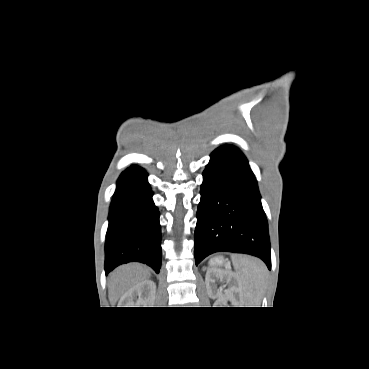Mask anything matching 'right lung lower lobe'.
Masks as SVG:
<instances>
[{
	"label": "right lung lower lobe",
	"instance_id": "1",
	"mask_svg": "<svg viewBox=\"0 0 369 369\" xmlns=\"http://www.w3.org/2000/svg\"><path fill=\"white\" fill-rule=\"evenodd\" d=\"M144 169L131 166L117 181L105 242V272L118 265L138 261L159 273L161 228L159 211Z\"/></svg>",
	"mask_w": 369,
	"mask_h": 369
}]
</instances>
